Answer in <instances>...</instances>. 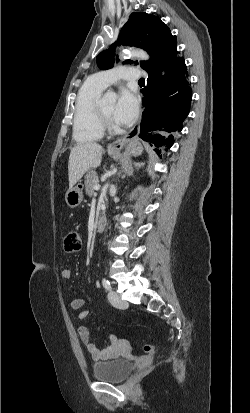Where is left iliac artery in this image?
Segmentation results:
<instances>
[{
    "instance_id": "44dca946",
    "label": "left iliac artery",
    "mask_w": 250,
    "mask_h": 413,
    "mask_svg": "<svg viewBox=\"0 0 250 413\" xmlns=\"http://www.w3.org/2000/svg\"><path fill=\"white\" fill-rule=\"evenodd\" d=\"M102 284L106 290H111V284L106 278L102 279Z\"/></svg>"
}]
</instances>
